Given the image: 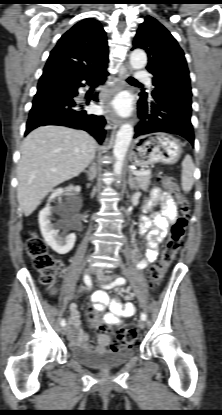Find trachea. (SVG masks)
Returning a JSON list of instances; mask_svg holds the SVG:
<instances>
[{
  "label": "trachea",
  "instance_id": "3493384b",
  "mask_svg": "<svg viewBox=\"0 0 222 415\" xmlns=\"http://www.w3.org/2000/svg\"><path fill=\"white\" fill-rule=\"evenodd\" d=\"M127 81H128V82H133V83H139L136 79H134V78H132V77H129V78L127 79Z\"/></svg>",
  "mask_w": 222,
  "mask_h": 415
}]
</instances>
